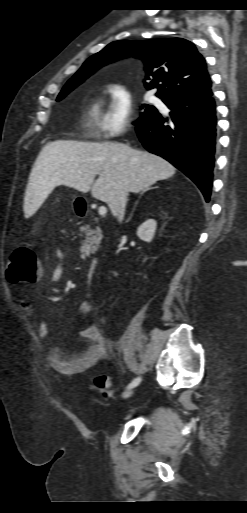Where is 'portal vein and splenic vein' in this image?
<instances>
[{
    "mask_svg": "<svg viewBox=\"0 0 247 513\" xmlns=\"http://www.w3.org/2000/svg\"><path fill=\"white\" fill-rule=\"evenodd\" d=\"M99 215L104 216L107 213L106 207L101 206L98 210Z\"/></svg>",
    "mask_w": 247,
    "mask_h": 513,
    "instance_id": "1",
    "label": "portal vein and splenic vein"
}]
</instances>
